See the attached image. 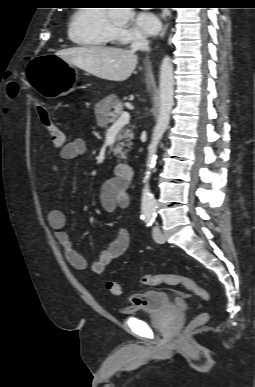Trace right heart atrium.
Here are the masks:
<instances>
[{
  "mask_svg": "<svg viewBox=\"0 0 255 387\" xmlns=\"http://www.w3.org/2000/svg\"><path fill=\"white\" fill-rule=\"evenodd\" d=\"M114 39L122 44H127L131 42H137L143 40V36H141L139 33L126 28V27H120L115 26L114 28Z\"/></svg>",
  "mask_w": 255,
  "mask_h": 387,
  "instance_id": "right-heart-atrium-1",
  "label": "right heart atrium"
}]
</instances>
